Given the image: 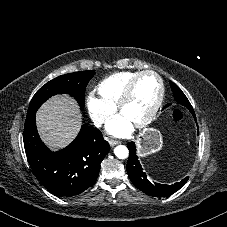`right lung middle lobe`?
I'll return each instance as SVG.
<instances>
[{
  "instance_id": "right-lung-middle-lobe-1",
  "label": "right lung middle lobe",
  "mask_w": 227,
  "mask_h": 227,
  "mask_svg": "<svg viewBox=\"0 0 227 227\" xmlns=\"http://www.w3.org/2000/svg\"><path fill=\"white\" fill-rule=\"evenodd\" d=\"M95 75L93 70L80 71L59 76L42 86L32 98L27 115L36 113L38 108L51 96L69 94L84 108V93L88 81Z\"/></svg>"
}]
</instances>
